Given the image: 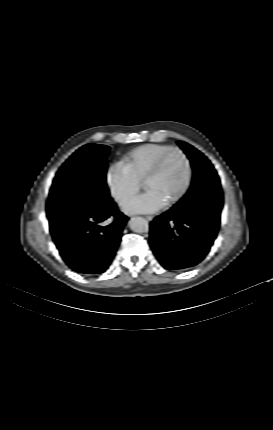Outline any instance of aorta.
<instances>
[{
	"instance_id": "aorta-1",
	"label": "aorta",
	"mask_w": 273,
	"mask_h": 430,
	"mask_svg": "<svg viewBox=\"0 0 273 430\" xmlns=\"http://www.w3.org/2000/svg\"><path fill=\"white\" fill-rule=\"evenodd\" d=\"M129 227L136 233H145L149 230L148 222L142 217H132L129 220Z\"/></svg>"
}]
</instances>
